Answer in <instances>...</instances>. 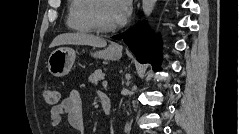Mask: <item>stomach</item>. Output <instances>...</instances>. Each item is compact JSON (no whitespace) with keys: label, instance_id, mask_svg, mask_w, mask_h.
<instances>
[{"label":"stomach","instance_id":"0dacf381","mask_svg":"<svg viewBox=\"0 0 239 134\" xmlns=\"http://www.w3.org/2000/svg\"><path fill=\"white\" fill-rule=\"evenodd\" d=\"M93 56L104 60H118L122 56V50L109 46L104 50L96 51ZM75 58L76 52L72 48H57L48 58V70L55 77L65 76L71 70Z\"/></svg>","mask_w":239,"mask_h":134}]
</instances>
